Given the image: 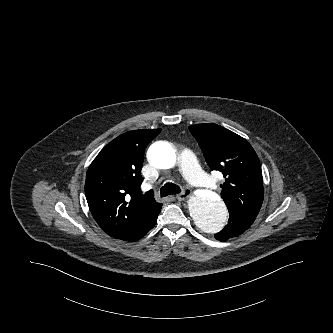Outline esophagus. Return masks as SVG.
I'll list each match as a JSON object with an SVG mask.
<instances>
[{"label":"esophagus","mask_w":333,"mask_h":333,"mask_svg":"<svg viewBox=\"0 0 333 333\" xmlns=\"http://www.w3.org/2000/svg\"><path fill=\"white\" fill-rule=\"evenodd\" d=\"M191 194V191L189 189H184L183 192L176 195V199L179 201L186 200Z\"/></svg>","instance_id":"obj_1"}]
</instances>
